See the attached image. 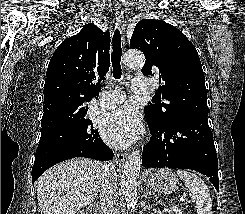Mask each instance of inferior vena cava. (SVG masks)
<instances>
[{"instance_id": "obj_1", "label": "inferior vena cava", "mask_w": 245, "mask_h": 214, "mask_svg": "<svg viewBox=\"0 0 245 214\" xmlns=\"http://www.w3.org/2000/svg\"><path fill=\"white\" fill-rule=\"evenodd\" d=\"M99 197L104 214H119L115 208L117 200V177L115 165L112 162L103 165Z\"/></svg>"}]
</instances>
